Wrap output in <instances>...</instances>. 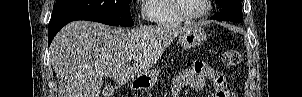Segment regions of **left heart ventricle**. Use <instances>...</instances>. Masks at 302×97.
<instances>
[{"mask_svg":"<svg viewBox=\"0 0 302 97\" xmlns=\"http://www.w3.org/2000/svg\"><path fill=\"white\" fill-rule=\"evenodd\" d=\"M181 9L188 15H197L205 9V0H180Z\"/></svg>","mask_w":302,"mask_h":97,"instance_id":"b2bd125f","label":"left heart ventricle"}]
</instances>
